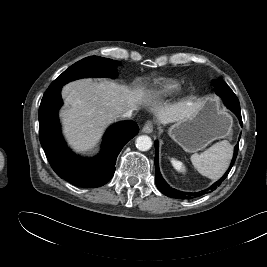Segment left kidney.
Listing matches in <instances>:
<instances>
[{
    "mask_svg": "<svg viewBox=\"0 0 267 267\" xmlns=\"http://www.w3.org/2000/svg\"><path fill=\"white\" fill-rule=\"evenodd\" d=\"M174 168L179 171V172H185V167L183 166V164L179 161H176V160H172L171 161Z\"/></svg>",
    "mask_w": 267,
    "mask_h": 267,
    "instance_id": "1",
    "label": "left kidney"
}]
</instances>
